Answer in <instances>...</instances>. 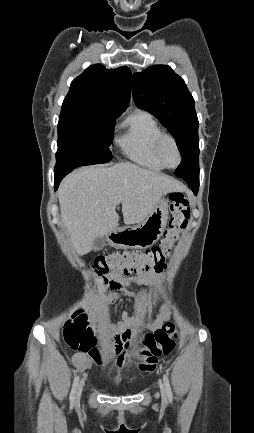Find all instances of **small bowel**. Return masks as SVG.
<instances>
[{"instance_id":"small-bowel-1","label":"small bowel","mask_w":254,"mask_h":433,"mask_svg":"<svg viewBox=\"0 0 254 433\" xmlns=\"http://www.w3.org/2000/svg\"><path fill=\"white\" fill-rule=\"evenodd\" d=\"M151 279L152 274H143L140 275L139 282H145ZM129 284V279L116 276L106 286V290L117 289L122 291L126 296H132L133 293L127 288ZM169 315L170 312L167 306H163L155 319L151 322H144L139 316L130 315L125 311L122 312L119 319L110 322L107 327L108 332L114 340L112 344L102 345V348L108 353V356L104 358L98 350L93 355L76 353L73 357L76 368L79 371H86L91 367L92 363L103 365L113 357L115 358V364L110 371H120L126 368L130 358L129 348L133 337L142 330L158 328L168 319Z\"/></svg>"}]
</instances>
